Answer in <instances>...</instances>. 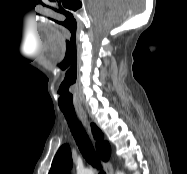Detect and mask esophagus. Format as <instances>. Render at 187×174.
Listing matches in <instances>:
<instances>
[{"label":"esophagus","mask_w":187,"mask_h":174,"mask_svg":"<svg viewBox=\"0 0 187 174\" xmlns=\"http://www.w3.org/2000/svg\"><path fill=\"white\" fill-rule=\"evenodd\" d=\"M76 113L80 119V121L82 122L83 126L85 127V129L87 130V132L89 133V135L91 136L93 142L95 143L96 140L93 137L91 128H90V121L88 120L87 114L84 111L83 108H76ZM103 167L106 171V174H113V168H112V164L110 161H102Z\"/></svg>","instance_id":"obj_1"}]
</instances>
